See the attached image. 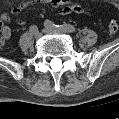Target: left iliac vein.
<instances>
[{
    "mask_svg": "<svg viewBox=\"0 0 119 119\" xmlns=\"http://www.w3.org/2000/svg\"><path fill=\"white\" fill-rule=\"evenodd\" d=\"M43 32L46 34L63 33V31H61V30H57V29H53V28H49V27H45L43 29Z\"/></svg>",
    "mask_w": 119,
    "mask_h": 119,
    "instance_id": "left-iliac-vein-1",
    "label": "left iliac vein"
}]
</instances>
